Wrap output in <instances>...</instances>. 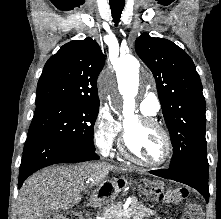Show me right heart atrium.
<instances>
[{
  "label": "right heart atrium",
  "instance_id": "1",
  "mask_svg": "<svg viewBox=\"0 0 221 219\" xmlns=\"http://www.w3.org/2000/svg\"><path fill=\"white\" fill-rule=\"evenodd\" d=\"M121 132V124L107 108H102L93 125V137L97 149L103 155L112 152Z\"/></svg>",
  "mask_w": 221,
  "mask_h": 219
}]
</instances>
